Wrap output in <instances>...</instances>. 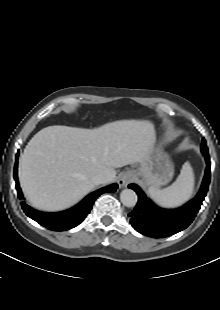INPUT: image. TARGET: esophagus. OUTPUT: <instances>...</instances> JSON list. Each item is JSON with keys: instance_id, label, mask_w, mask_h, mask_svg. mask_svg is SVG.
Here are the masks:
<instances>
[{"instance_id": "obj_1", "label": "esophagus", "mask_w": 220, "mask_h": 310, "mask_svg": "<svg viewBox=\"0 0 220 310\" xmlns=\"http://www.w3.org/2000/svg\"><path fill=\"white\" fill-rule=\"evenodd\" d=\"M133 181V175L131 173H123L118 178V185L120 188L126 187Z\"/></svg>"}]
</instances>
